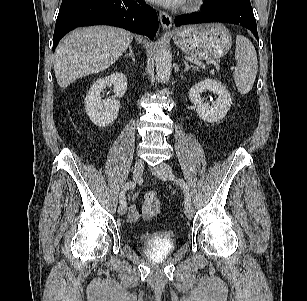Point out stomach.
I'll return each instance as SVG.
<instances>
[{
    "label": "stomach",
    "instance_id": "stomach-1",
    "mask_svg": "<svg viewBox=\"0 0 307 301\" xmlns=\"http://www.w3.org/2000/svg\"><path fill=\"white\" fill-rule=\"evenodd\" d=\"M176 45L199 60H215L224 56L232 46V36L220 23L188 25L174 34Z\"/></svg>",
    "mask_w": 307,
    "mask_h": 301
}]
</instances>
